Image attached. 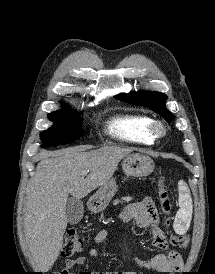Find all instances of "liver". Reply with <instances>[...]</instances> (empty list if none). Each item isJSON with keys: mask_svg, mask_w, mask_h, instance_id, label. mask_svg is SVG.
<instances>
[{"mask_svg": "<svg viewBox=\"0 0 215 274\" xmlns=\"http://www.w3.org/2000/svg\"><path fill=\"white\" fill-rule=\"evenodd\" d=\"M130 150L104 146L97 150L71 148L43 154L28 185L23 210L26 243L37 270L47 272L63 244L69 194L82 199L110 181ZM89 170L83 179L82 172Z\"/></svg>", "mask_w": 215, "mask_h": 274, "instance_id": "liver-1", "label": "liver"}]
</instances>
